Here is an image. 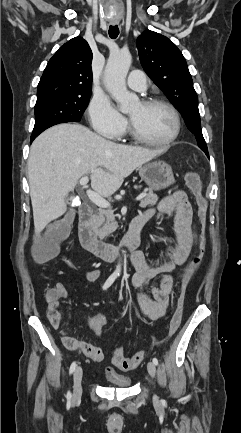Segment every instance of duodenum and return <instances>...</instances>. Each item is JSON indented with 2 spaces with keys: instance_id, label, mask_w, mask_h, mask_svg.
<instances>
[{
  "instance_id": "410a0bca",
  "label": "duodenum",
  "mask_w": 241,
  "mask_h": 433,
  "mask_svg": "<svg viewBox=\"0 0 241 433\" xmlns=\"http://www.w3.org/2000/svg\"><path fill=\"white\" fill-rule=\"evenodd\" d=\"M93 209L84 204L79 210V240L83 248L91 254L109 260H117L123 253L135 254L147 219L142 215L135 216L121 244H111L99 240L92 228Z\"/></svg>"
}]
</instances>
